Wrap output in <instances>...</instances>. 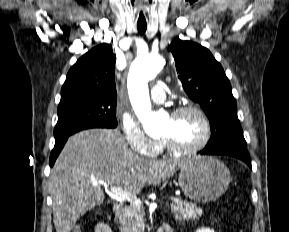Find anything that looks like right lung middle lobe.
I'll use <instances>...</instances> for the list:
<instances>
[{"mask_svg": "<svg viewBox=\"0 0 289 232\" xmlns=\"http://www.w3.org/2000/svg\"><path fill=\"white\" fill-rule=\"evenodd\" d=\"M117 100L100 96L73 99L58 106L55 140L89 128H115Z\"/></svg>", "mask_w": 289, "mask_h": 232, "instance_id": "obj_1", "label": "right lung middle lobe"}]
</instances>
